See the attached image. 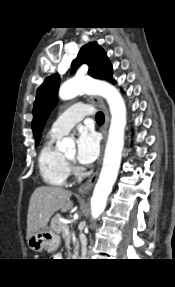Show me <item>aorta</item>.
<instances>
[{"label": "aorta", "mask_w": 175, "mask_h": 287, "mask_svg": "<svg viewBox=\"0 0 175 287\" xmlns=\"http://www.w3.org/2000/svg\"><path fill=\"white\" fill-rule=\"evenodd\" d=\"M82 92H93L106 99L111 112V123L102 169L91 198V215L96 219L104 211L107 198L117 179L124 146V130L126 126V106L120 92L106 82H88L85 79L74 78L65 82L59 90L62 100H69ZM74 141L64 138L58 143L60 151L74 149Z\"/></svg>", "instance_id": "aorta-1"}]
</instances>
